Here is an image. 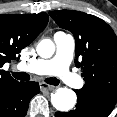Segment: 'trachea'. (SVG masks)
I'll return each instance as SVG.
<instances>
[{
    "instance_id": "obj_1",
    "label": "trachea",
    "mask_w": 117,
    "mask_h": 117,
    "mask_svg": "<svg viewBox=\"0 0 117 117\" xmlns=\"http://www.w3.org/2000/svg\"><path fill=\"white\" fill-rule=\"evenodd\" d=\"M13 77H15L18 80L21 81H29L30 80V75L25 72H12ZM45 82L50 84V85H58L60 81L57 78H46Z\"/></svg>"
}]
</instances>
